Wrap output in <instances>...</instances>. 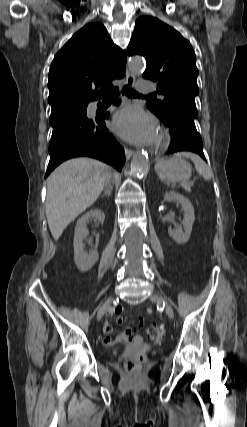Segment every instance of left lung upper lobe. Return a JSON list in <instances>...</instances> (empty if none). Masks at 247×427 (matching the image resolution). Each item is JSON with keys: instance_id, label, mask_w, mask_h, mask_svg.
I'll return each instance as SVG.
<instances>
[{"instance_id": "left-lung-upper-lobe-1", "label": "left lung upper lobe", "mask_w": 247, "mask_h": 427, "mask_svg": "<svg viewBox=\"0 0 247 427\" xmlns=\"http://www.w3.org/2000/svg\"><path fill=\"white\" fill-rule=\"evenodd\" d=\"M127 54H139L147 60L143 77L157 81V91L164 99L150 101L146 106L159 119L163 121L176 114L197 117L198 69L189 41L157 18L140 17L135 22Z\"/></svg>"}]
</instances>
